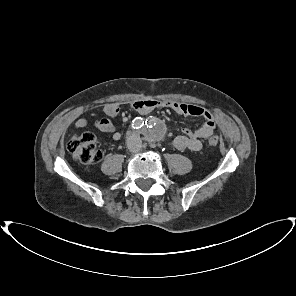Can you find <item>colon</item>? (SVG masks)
Segmentation results:
<instances>
[{
    "label": "colon",
    "mask_w": 296,
    "mask_h": 296,
    "mask_svg": "<svg viewBox=\"0 0 296 296\" xmlns=\"http://www.w3.org/2000/svg\"><path fill=\"white\" fill-rule=\"evenodd\" d=\"M219 139L211 136L208 144L212 147L217 146ZM67 148L71 155L84 164L98 163L102 159V151L97 146V139L94 133L89 130L74 134L68 141Z\"/></svg>",
    "instance_id": "5ec220e1"
}]
</instances>
